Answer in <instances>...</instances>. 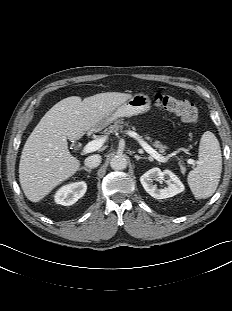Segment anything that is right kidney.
Wrapping results in <instances>:
<instances>
[{"mask_svg": "<svg viewBox=\"0 0 232 311\" xmlns=\"http://www.w3.org/2000/svg\"><path fill=\"white\" fill-rule=\"evenodd\" d=\"M87 190L84 181L75 182L61 187L54 196L55 202L64 206H70L76 203Z\"/></svg>", "mask_w": 232, "mask_h": 311, "instance_id": "ca27d5eb", "label": "right kidney"}]
</instances>
